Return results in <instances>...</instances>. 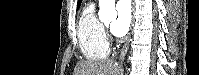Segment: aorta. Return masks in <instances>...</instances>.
<instances>
[{
	"label": "aorta",
	"instance_id": "1",
	"mask_svg": "<svg viewBox=\"0 0 199 75\" xmlns=\"http://www.w3.org/2000/svg\"><path fill=\"white\" fill-rule=\"evenodd\" d=\"M99 19L102 22L114 21L117 18L115 0H99Z\"/></svg>",
	"mask_w": 199,
	"mask_h": 75
}]
</instances>
